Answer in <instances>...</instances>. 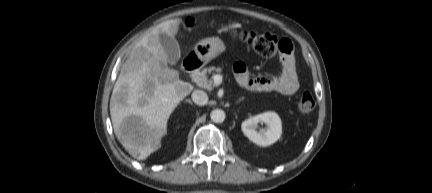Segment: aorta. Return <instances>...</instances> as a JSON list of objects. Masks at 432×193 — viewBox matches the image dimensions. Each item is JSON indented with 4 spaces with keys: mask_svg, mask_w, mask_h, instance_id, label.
<instances>
[{
    "mask_svg": "<svg viewBox=\"0 0 432 193\" xmlns=\"http://www.w3.org/2000/svg\"><path fill=\"white\" fill-rule=\"evenodd\" d=\"M225 112L221 109H215L211 112L210 118L215 123H221L225 120Z\"/></svg>",
    "mask_w": 432,
    "mask_h": 193,
    "instance_id": "obj_1",
    "label": "aorta"
}]
</instances>
